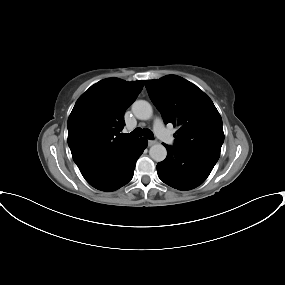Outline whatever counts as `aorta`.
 Listing matches in <instances>:
<instances>
[{
    "instance_id": "762f6f07",
    "label": "aorta",
    "mask_w": 285,
    "mask_h": 285,
    "mask_svg": "<svg viewBox=\"0 0 285 285\" xmlns=\"http://www.w3.org/2000/svg\"><path fill=\"white\" fill-rule=\"evenodd\" d=\"M132 112L137 119L148 120L152 117L153 109L149 102L145 100H137L132 105ZM150 157L161 162L167 156V150L162 144H154L149 150Z\"/></svg>"
}]
</instances>
